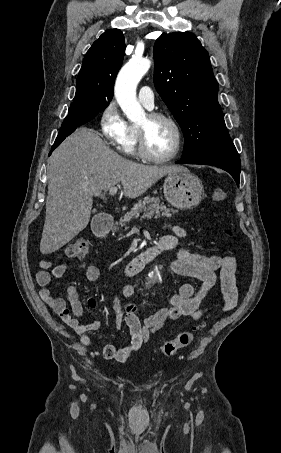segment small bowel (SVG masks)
Masks as SVG:
<instances>
[{"label":"small bowel","mask_w":281,"mask_h":453,"mask_svg":"<svg viewBox=\"0 0 281 453\" xmlns=\"http://www.w3.org/2000/svg\"><path fill=\"white\" fill-rule=\"evenodd\" d=\"M167 228L177 238L183 239L187 236V232L182 226L168 224ZM177 238L165 237L162 242L157 239L150 245H156L157 252H173L178 245ZM176 253L177 258L168 264V270L177 277H195L201 283L200 289L194 290L190 285H181L178 292L170 297L168 308L160 309L140 322L136 316L137 307L130 300L134 291L133 287L125 285L122 288V297L113 296L114 325L116 329L126 326L131 333V339L124 347H117L113 344L105 345L103 356L106 360L127 362L132 354L139 350L143 343L167 321L176 320L182 316L200 320L205 314L202 301L217 285H221L224 311H231L236 307L238 291L235 279L236 258L234 256L221 257L196 254L183 247H178ZM40 265L41 269L38 270L36 277L43 300L55 314L60 316L75 331L81 344L84 347H90L93 341L87 333L101 330L103 323L101 320L86 325L79 323V318L84 312V306L79 299L76 285L68 284L66 286L67 300L55 298L51 295L50 279L52 277L62 278L67 272V263L61 262L53 269H49L53 267L52 262L43 259ZM217 269L221 271L220 279L216 273ZM85 271L90 282L98 281L100 275L96 266L88 264L85 266Z\"/></svg>","instance_id":"1"}]
</instances>
